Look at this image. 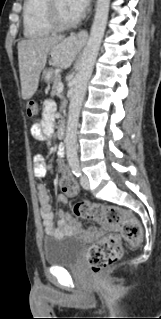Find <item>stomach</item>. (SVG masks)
<instances>
[{"label": "stomach", "instance_id": "obj_1", "mask_svg": "<svg viewBox=\"0 0 161 319\" xmlns=\"http://www.w3.org/2000/svg\"><path fill=\"white\" fill-rule=\"evenodd\" d=\"M77 47L78 43L73 38L65 39L53 46L49 51V60L52 66L55 68L69 66L73 60ZM51 78L52 70H47L43 73V79L46 82H49Z\"/></svg>", "mask_w": 161, "mask_h": 319}]
</instances>
